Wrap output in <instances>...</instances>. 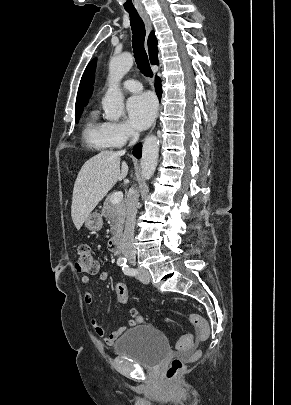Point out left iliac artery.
<instances>
[{
	"mask_svg": "<svg viewBox=\"0 0 291 405\" xmlns=\"http://www.w3.org/2000/svg\"><path fill=\"white\" fill-rule=\"evenodd\" d=\"M122 271L124 272V274L128 275V276H135L137 274V270L134 268H130L128 265H124L122 267Z\"/></svg>",
	"mask_w": 291,
	"mask_h": 405,
	"instance_id": "1",
	"label": "left iliac artery"
}]
</instances>
